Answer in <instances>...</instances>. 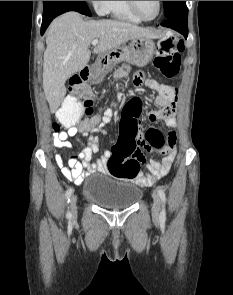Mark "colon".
Returning a JSON list of instances; mask_svg holds the SVG:
<instances>
[{
  "mask_svg": "<svg viewBox=\"0 0 233 295\" xmlns=\"http://www.w3.org/2000/svg\"><path fill=\"white\" fill-rule=\"evenodd\" d=\"M183 50V41L173 33L160 40L154 65L163 76L173 78L179 74ZM145 84L158 95L167 98L177 96V90L173 86L154 80H147ZM71 90V96L64 101L58 112V120L69 126L85 114L81 124L86 129L94 128L100 119L93 114L94 95L87 81L80 76L74 77L71 81ZM53 128L58 131L59 124L54 123ZM166 146V138L159 130L150 128L142 134L138 120L129 111H124L120 120V135L112 147L108 171L117 178L134 179L140 172L141 164L146 161L144 151L163 152Z\"/></svg>",
  "mask_w": 233,
  "mask_h": 295,
  "instance_id": "colon-1",
  "label": "colon"
}]
</instances>
